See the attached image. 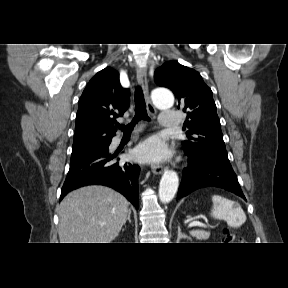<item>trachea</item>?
Masks as SVG:
<instances>
[{
    "label": "trachea",
    "mask_w": 288,
    "mask_h": 288,
    "mask_svg": "<svg viewBox=\"0 0 288 288\" xmlns=\"http://www.w3.org/2000/svg\"><path fill=\"white\" fill-rule=\"evenodd\" d=\"M142 119L150 121V118L148 117L146 111V104L142 89L140 87H137L135 91V116L132 122L126 126L122 124H116V127L123 132H129L138 123V121Z\"/></svg>",
    "instance_id": "3493384b"
}]
</instances>
